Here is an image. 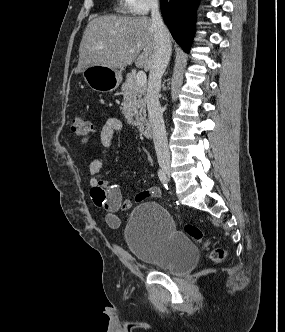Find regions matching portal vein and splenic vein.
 I'll return each instance as SVG.
<instances>
[{"instance_id":"1","label":"portal vein and splenic vein","mask_w":285,"mask_h":332,"mask_svg":"<svg viewBox=\"0 0 285 332\" xmlns=\"http://www.w3.org/2000/svg\"><path fill=\"white\" fill-rule=\"evenodd\" d=\"M137 85L144 86L147 82V77L144 71H139L136 75Z\"/></svg>"}]
</instances>
